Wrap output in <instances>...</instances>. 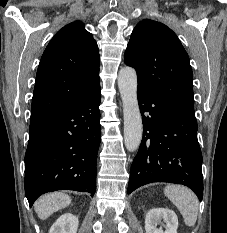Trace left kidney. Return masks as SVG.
<instances>
[{"label":"left kidney","mask_w":227,"mask_h":233,"mask_svg":"<svg viewBox=\"0 0 227 233\" xmlns=\"http://www.w3.org/2000/svg\"><path fill=\"white\" fill-rule=\"evenodd\" d=\"M161 220L166 223L165 231L161 225ZM178 218L175 212L168 208H153L149 210L145 217V230L146 233H177Z\"/></svg>","instance_id":"1"}]
</instances>
